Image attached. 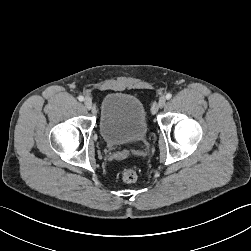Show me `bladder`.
Here are the masks:
<instances>
[{"label":"bladder","mask_w":251,"mask_h":251,"mask_svg":"<svg viewBox=\"0 0 251 251\" xmlns=\"http://www.w3.org/2000/svg\"><path fill=\"white\" fill-rule=\"evenodd\" d=\"M148 130L145 108L136 96L112 92L103 98L99 132L106 143L120 145L142 141Z\"/></svg>","instance_id":"31cf9c89"}]
</instances>
